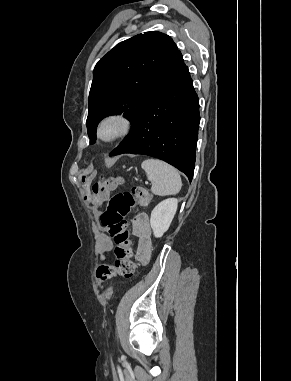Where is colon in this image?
<instances>
[{"mask_svg": "<svg viewBox=\"0 0 291 381\" xmlns=\"http://www.w3.org/2000/svg\"><path fill=\"white\" fill-rule=\"evenodd\" d=\"M120 182L119 179L102 178L101 181L90 186L95 202L103 200L108 202V208L101 216V223L115 243L114 263H103L95 269V277L99 283H104L116 276L130 278L134 275L132 240L126 217L135 206L146 207L150 202L149 192L140 186L111 195Z\"/></svg>", "mask_w": 291, "mask_h": 381, "instance_id": "obj_1", "label": "colon"}]
</instances>
